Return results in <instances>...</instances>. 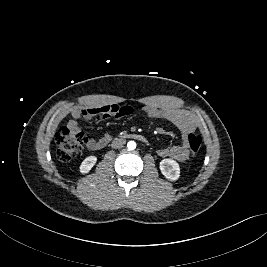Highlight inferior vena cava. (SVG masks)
I'll return each mask as SVG.
<instances>
[{
  "label": "inferior vena cava",
  "mask_w": 267,
  "mask_h": 267,
  "mask_svg": "<svg viewBox=\"0 0 267 267\" xmlns=\"http://www.w3.org/2000/svg\"><path fill=\"white\" fill-rule=\"evenodd\" d=\"M125 142H126V141H125L124 139H120V138L115 139V140L112 142V147H113L114 149L122 148L123 145L125 144Z\"/></svg>",
  "instance_id": "obj_1"
}]
</instances>
